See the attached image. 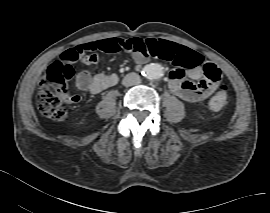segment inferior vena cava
Wrapping results in <instances>:
<instances>
[{
	"label": "inferior vena cava",
	"mask_w": 270,
	"mask_h": 213,
	"mask_svg": "<svg viewBox=\"0 0 270 213\" xmlns=\"http://www.w3.org/2000/svg\"><path fill=\"white\" fill-rule=\"evenodd\" d=\"M141 82L140 76L137 73H129L123 78V85L125 86H133L137 85Z\"/></svg>",
	"instance_id": "inferior-vena-cava-1"
}]
</instances>
